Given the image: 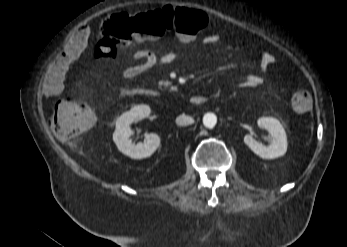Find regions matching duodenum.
<instances>
[{
  "label": "duodenum",
  "mask_w": 347,
  "mask_h": 247,
  "mask_svg": "<svg viewBox=\"0 0 347 247\" xmlns=\"http://www.w3.org/2000/svg\"><path fill=\"white\" fill-rule=\"evenodd\" d=\"M130 94L132 95H139V96H147L155 98L158 96V93L151 89H137V90H131ZM207 99L203 95H193L189 99V103L193 106H200L206 103Z\"/></svg>",
  "instance_id": "410a0bca"
}]
</instances>
